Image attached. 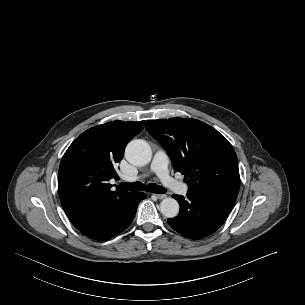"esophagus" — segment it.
<instances>
[{
    "mask_svg": "<svg viewBox=\"0 0 305 305\" xmlns=\"http://www.w3.org/2000/svg\"><path fill=\"white\" fill-rule=\"evenodd\" d=\"M158 199H163L166 197V194H154Z\"/></svg>",
    "mask_w": 305,
    "mask_h": 305,
    "instance_id": "esophagus-1",
    "label": "esophagus"
}]
</instances>
